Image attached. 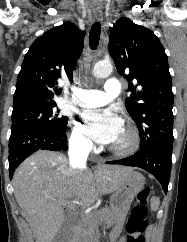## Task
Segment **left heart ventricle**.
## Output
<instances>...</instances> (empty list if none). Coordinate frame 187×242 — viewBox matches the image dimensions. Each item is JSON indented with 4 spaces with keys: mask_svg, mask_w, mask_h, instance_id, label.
<instances>
[{
    "mask_svg": "<svg viewBox=\"0 0 187 242\" xmlns=\"http://www.w3.org/2000/svg\"><path fill=\"white\" fill-rule=\"evenodd\" d=\"M129 142L130 135L125 126L122 124L115 140L111 143V146L115 148H123L126 147L129 144Z\"/></svg>",
    "mask_w": 187,
    "mask_h": 242,
    "instance_id": "left-heart-ventricle-1",
    "label": "left heart ventricle"
}]
</instances>
